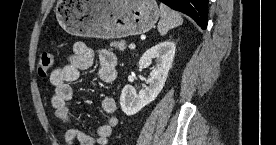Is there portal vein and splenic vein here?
<instances>
[{
  "label": "portal vein and splenic vein",
  "instance_id": "obj_1",
  "mask_svg": "<svg viewBox=\"0 0 276 145\" xmlns=\"http://www.w3.org/2000/svg\"><path fill=\"white\" fill-rule=\"evenodd\" d=\"M135 48H136L135 44H130V45H129V49L133 50V49H135Z\"/></svg>",
  "mask_w": 276,
  "mask_h": 145
}]
</instances>
